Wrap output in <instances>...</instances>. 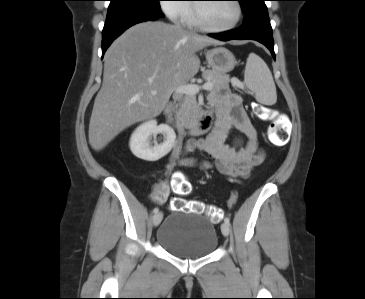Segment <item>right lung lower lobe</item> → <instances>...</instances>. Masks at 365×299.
<instances>
[{"instance_id": "98d812e1", "label": "right lung lower lobe", "mask_w": 365, "mask_h": 299, "mask_svg": "<svg viewBox=\"0 0 365 299\" xmlns=\"http://www.w3.org/2000/svg\"><path fill=\"white\" fill-rule=\"evenodd\" d=\"M164 17L161 9L129 8L116 13L107 14L102 31V55L111 43L129 27L148 20Z\"/></svg>"}]
</instances>
